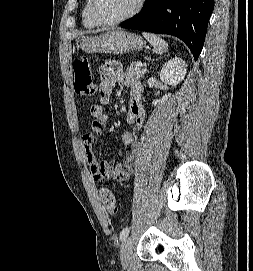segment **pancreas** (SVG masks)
I'll list each match as a JSON object with an SVG mask.
<instances>
[{"label": "pancreas", "instance_id": "cf45deb5", "mask_svg": "<svg viewBox=\"0 0 253 271\" xmlns=\"http://www.w3.org/2000/svg\"><path fill=\"white\" fill-rule=\"evenodd\" d=\"M137 63L138 62H132L126 71L130 75L135 76L137 79H140L146 73V68H141V66H139Z\"/></svg>", "mask_w": 253, "mask_h": 271}]
</instances>
